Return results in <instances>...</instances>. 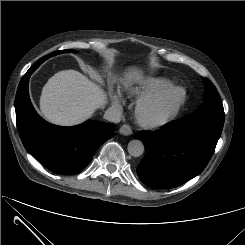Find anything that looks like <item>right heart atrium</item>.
Returning a JSON list of instances; mask_svg holds the SVG:
<instances>
[{"label":"right heart atrium","mask_w":245,"mask_h":245,"mask_svg":"<svg viewBox=\"0 0 245 245\" xmlns=\"http://www.w3.org/2000/svg\"><path fill=\"white\" fill-rule=\"evenodd\" d=\"M109 98L111 100L112 105L120 109L122 107V100H121V94L116 88H110L108 91Z\"/></svg>","instance_id":"right-heart-atrium-1"}]
</instances>
